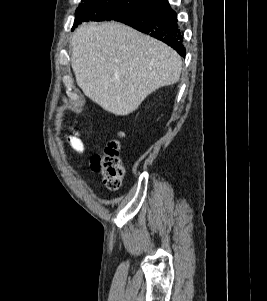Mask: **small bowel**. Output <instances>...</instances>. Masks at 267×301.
Returning <instances> with one entry per match:
<instances>
[{"mask_svg":"<svg viewBox=\"0 0 267 301\" xmlns=\"http://www.w3.org/2000/svg\"><path fill=\"white\" fill-rule=\"evenodd\" d=\"M68 142L72 149L77 153H82L84 151V143L81 135L78 132H74L73 134L69 135Z\"/></svg>","mask_w":267,"mask_h":301,"instance_id":"obj_1","label":"small bowel"}]
</instances>
